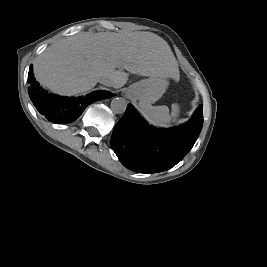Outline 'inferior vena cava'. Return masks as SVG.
<instances>
[{"instance_id":"inferior-vena-cava-1","label":"inferior vena cava","mask_w":267,"mask_h":267,"mask_svg":"<svg viewBox=\"0 0 267 267\" xmlns=\"http://www.w3.org/2000/svg\"><path fill=\"white\" fill-rule=\"evenodd\" d=\"M99 83H101V84H103L105 86H108V87H113V85H114V81L112 79L108 78V77H105V76L101 77L99 79Z\"/></svg>"}]
</instances>
